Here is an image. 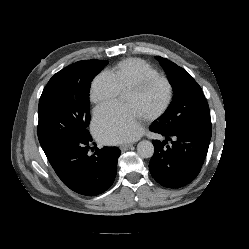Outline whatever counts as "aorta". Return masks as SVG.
Masks as SVG:
<instances>
[{
    "label": "aorta",
    "instance_id": "aorta-1",
    "mask_svg": "<svg viewBox=\"0 0 249 249\" xmlns=\"http://www.w3.org/2000/svg\"><path fill=\"white\" fill-rule=\"evenodd\" d=\"M137 152L142 158H150L154 154V146L148 140H142L137 145Z\"/></svg>",
    "mask_w": 249,
    "mask_h": 249
}]
</instances>
